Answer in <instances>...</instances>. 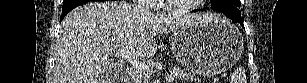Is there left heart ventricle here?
Returning <instances> with one entry per match:
<instances>
[{
    "mask_svg": "<svg viewBox=\"0 0 307 83\" xmlns=\"http://www.w3.org/2000/svg\"><path fill=\"white\" fill-rule=\"evenodd\" d=\"M194 1L195 0H169L172 5H186Z\"/></svg>",
    "mask_w": 307,
    "mask_h": 83,
    "instance_id": "obj_1",
    "label": "left heart ventricle"
}]
</instances>
